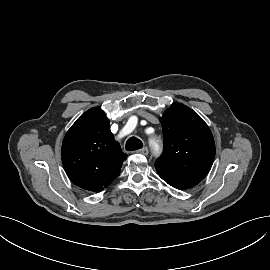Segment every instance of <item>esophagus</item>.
Instances as JSON below:
<instances>
[{
  "label": "esophagus",
  "mask_w": 270,
  "mask_h": 270,
  "mask_svg": "<svg viewBox=\"0 0 270 270\" xmlns=\"http://www.w3.org/2000/svg\"><path fill=\"white\" fill-rule=\"evenodd\" d=\"M136 152L139 153V154H142V155H148L149 150H148L147 147H144V148H142V149H140V150H138Z\"/></svg>",
  "instance_id": "34e87169"
}]
</instances>
